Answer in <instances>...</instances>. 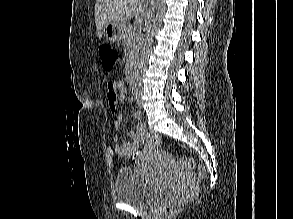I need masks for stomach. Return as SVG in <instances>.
I'll list each match as a JSON object with an SVG mask.
<instances>
[{
	"instance_id": "1",
	"label": "stomach",
	"mask_w": 293,
	"mask_h": 219,
	"mask_svg": "<svg viewBox=\"0 0 293 219\" xmlns=\"http://www.w3.org/2000/svg\"><path fill=\"white\" fill-rule=\"evenodd\" d=\"M126 26L124 23L111 22L104 29V37L109 42H118L123 38Z\"/></svg>"
}]
</instances>
